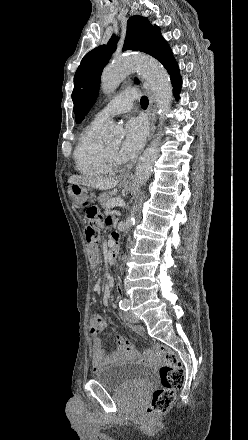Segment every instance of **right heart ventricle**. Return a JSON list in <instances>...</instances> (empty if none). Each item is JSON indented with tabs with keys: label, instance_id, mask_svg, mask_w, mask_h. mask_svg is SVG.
Masks as SVG:
<instances>
[{
	"label": "right heart ventricle",
	"instance_id": "e07e8e85",
	"mask_svg": "<svg viewBox=\"0 0 248 440\" xmlns=\"http://www.w3.org/2000/svg\"><path fill=\"white\" fill-rule=\"evenodd\" d=\"M102 127V123L94 120L79 136L74 160L76 169L83 175L102 176L110 171L105 156V144L100 135Z\"/></svg>",
	"mask_w": 248,
	"mask_h": 440
}]
</instances>
